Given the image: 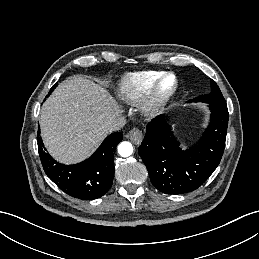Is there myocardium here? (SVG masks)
Wrapping results in <instances>:
<instances>
[{
  "label": "myocardium",
  "instance_id": "myocardium-1",
  "mask_svg": "<svg viewBox=\"0 0 259 259\" xmlns=\"http://www.w3.org/2000/svg\"><path fill=\"white\" fill-rule=\"evenodd\" d=\"M172 78V85L166 89L162 90L164 82ZM178 88V79L176 75L172 72L162 73L158 78H156L150 87L141 97L139 103V109L144 116H153L160 109H162L169 100L173 97Z\"/></svg>",
  "mask_w": 259,
  "mask_h": 259
}]
</instances>
